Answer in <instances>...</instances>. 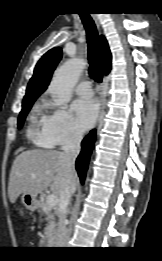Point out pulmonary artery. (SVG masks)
Segmentation results:
<instances>
[{"label":"pulmonary artery","mask_w":162,"mask_h":261,"mask_svg":"<svg viewBox=\"0 0 162 261\" xmlns=\"http://www.w3.org/2000/svg\"><path fill=\"white\" fill-rule=\"evenodd\" d=\"M76 92L83 98L91 97L93 95L91 82L87 80L80 82L76 87Z\"/></svg>","instance_id":"pulmonary-artery-1"}]
</instances>
